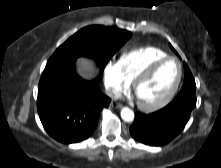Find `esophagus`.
<instances>
[{"mask_svg": "<svg viewBox=\"0 0 221 168\" xmlns=\"http://www.w3.org/2000/svg\"><path fill=\"white\" fill-rule=\"evenodd\" d=\"M110 106L113 107V108H121L122 107V104L121 103H118L116 101H112L110 103Z\"/></svg>", "mask_w": 221, "mask_h": 168, "instance_id": "34e87169", "label": "esophagus"}]
</instances>
